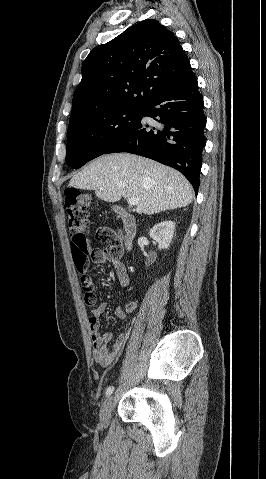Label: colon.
<instances>
[{"instance_id":"5ec220e1","label":"colon","mask_w":266,"mask_h":479,"mask_svg":"<svg viewBox=\"0 0 266 479\" xmlns=\"http://www.w3.org/2000/svg\"><path fill=\"white\" fill-rule=\"evenodd\" d=\"M67 225L71 235V249L76 271L80 275V285L84 294V301L92 306L97 296L94 291L92 278L86 274L89 265L90 239L86 232L88 227V209L90 199L77 189L65 191L64 201ZM95 239L109 245H118L120 235L107 226H100L95 231Z\"/></svg>"}]
</instances>
